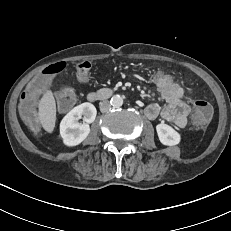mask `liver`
I'll return each instance as SVG.
<instances>
[{"instance_id": "6515ba94", "label": "liver", "mask_w": 231, "mask_h": 231, "mask_svg": "<svg viewBox=\"0 0 231 231\" xmlns=\"http://www.w3.org/2000/svg\"><path fill=\"white\" fill-rule=\"evenodd\" d=\"M38 117L43 129L52 133L56 123V102L51 90H47L39 101Z\"/></svg>"}]
</instances>
